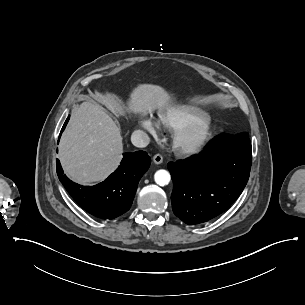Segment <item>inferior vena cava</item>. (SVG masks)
Wrapping results in <instances>:
<instances>
[{
    "label": "inferior vena cava",
    "mask_w": 305,
    "mask_h": 305,
    "mask_svg": "<svg viewBox=\"0 0 305 305\" xmlns=\"http://www.w3.org/2000/svg\"><path fill=\"white\" fill-rule=\"evenodd\" d=\"M131 142L134 146L143 148L149 144L150 138L144 131L136 130L131 135Z\"/></svg>",
    "instance_id": "1"
}]
</instances>
